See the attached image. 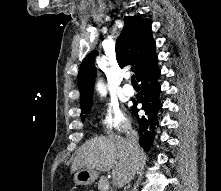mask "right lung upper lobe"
Instances as JSON below:
<instances>
[{"instance_id":"obj_1","label":"right lung upper lobe","mask_w":221,"mask_h":191,"mask_svg":"<svg viewBox=\"0 0 221 191\" xmlns=\"http://www.w3.org/2000/svg\"><path fill=\"white\" fill-rule=\"evenodd\" d=\"M151 21L139 15L125 16L123 30L116 41V59L121 68L131 64L136 78L158 58L155 54V41L151 35ZM89 53L80 65L78 88L80 91L81 113L91 110L96 68L94 56Z\"/></svg>"}]
</instances>
